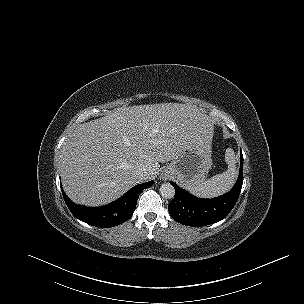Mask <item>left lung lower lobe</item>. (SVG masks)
<instances>
[{
	"label": "left lung lower lobe",
	"instance_id": "obj_1",
	"mask_svg": "<svg viewBox=\"0 0 304 304\" xmlns=\"http://www.w3.org/2000/svg\"><path fill=\"white\" fill-rule=\"evenodd\" d=\"M176 193L168 205L170 215L177 222L187 226H206L224 219L235 206L243 184V155L240 154L239 176L234 187L226 194L213 198L201 199L171 182Z\"/></svg>",
	"mask_w": 304,
	"mask_h": 304
}]
</instances>
